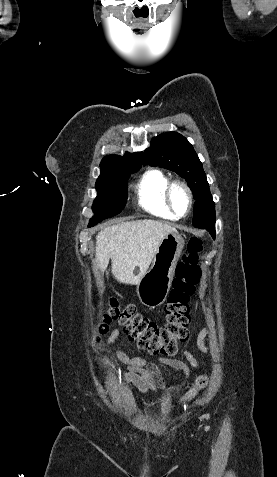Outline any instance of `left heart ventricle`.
<instances>
[{
    "label": "left heart ventricle",
    "mask_w": 277,
    "mask_h": 477,
    "mask_svg": "<svg viewBox=\"0 0 277 477\" xmlns=\"http://www.w3.org/2000/svg\"><path fill=\"white\" fill-rule=\"evenodd\" d=\"M172 201L179 214L186 213L188 209V197L184 189L176 187L172 193Z\"/></svg>",
    "instance_id": "obj_1"
}]
</instances>
